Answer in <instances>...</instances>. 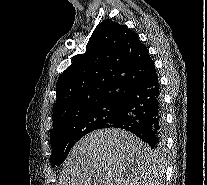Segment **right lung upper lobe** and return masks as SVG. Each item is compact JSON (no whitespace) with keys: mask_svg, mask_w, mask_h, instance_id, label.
I'll list each match as a JSON object with an SVG mask.
<instances>
[{"mask_svg":"<svg viewBox=\"0 0 207 185\" xmlns=\"http://www.w3.org/2000/svg\"><path fill=\"white\" fill-rule=\"evenodd\" d=\"M155 75L148 49L127 26L110 19L95 28L86 52L60 75L53 107L54 125L110 103L133 84Z\"/></svg>","mask_w":207,"mask_h":185,"instance_id":"right-lung-upper-lobe-1","label":"right lung upper lobe"}]
</instances>
